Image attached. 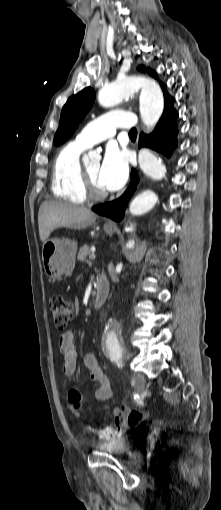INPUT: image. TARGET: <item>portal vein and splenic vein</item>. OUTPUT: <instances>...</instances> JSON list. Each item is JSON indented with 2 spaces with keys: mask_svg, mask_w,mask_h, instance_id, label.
<instances>
[{
  "mask_svg": "<svg viewBox=\"0 0 221 510\" xmlns=\"http://www.w3.org/2000/svg\"><path fill=\"white\" fill-rule=\"evenodd\" d=\"M95 258H96V255L94 253L89 256L90 260H94Z\"/></svg>",
  "mask_w": 221,
  "mask_h": 510,
  "instance_id": "1",
  "label": "portal vein and splenic vein"
}]
</instances>
